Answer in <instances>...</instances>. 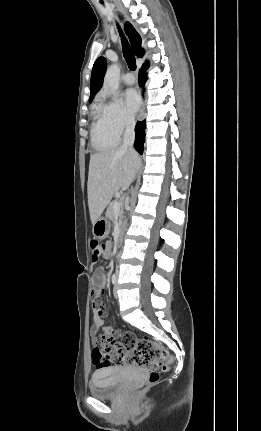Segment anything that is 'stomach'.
<instances>
[{
	"mask_svg": "<svg viewBox=\"0 0 261 431\" xmlns=\"http://www.w3.org/2000/svg\"><path fill=\"white\" fill-rule=\"evenodd\" d=\"M110 231V222L107 217L100 216L92 227L93 235L99 239H104Z\"/></svg>",
	"mask_w": 261,
	"mask_h": 431,
	"instance_id": "1",
	"label": "stomach"
}]
</instances>
